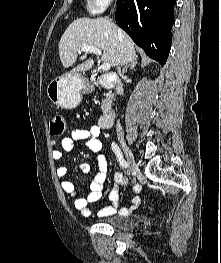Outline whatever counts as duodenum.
Instances as JSON below:
<instances>
[{"label": "duodenum", "instance_id": "duodenum-1", "mask_svg": "<svg viewBox=\"0 0 221 263\" xmlns=\"http://www.w3.org/2000/svg\"><path fill=\"white\" fill-rule=\"evenodd\" d=\"M101 83L108 88H113L117 84V77L112 73H105L99 76ZM114 116V108L112 102H107L103 115L100 119V126L102 128H109L112 125Z\"/></svg>", "mask_w": 221, "mask_h": 263}]
</instances>
